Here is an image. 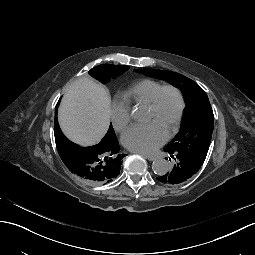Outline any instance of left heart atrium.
I'll list each match as a JSON object with an SVG mask.
<instances>
[{"label":"left heart atrium","mask_w":255,"mask_h":255,"mask_svg":"<svg viewBox=\"0 0 255 255\" xmlns=\"http://www.w3.org/2000/svg\"><path fill=\"white\" fill-rule=\"evenodd\" d=\"M121 141L127 149L147 154L160 148L166 142V136L152 124H136L123 133Z\"/></svg>","instance_id":"obj_1"}]
</instances>
